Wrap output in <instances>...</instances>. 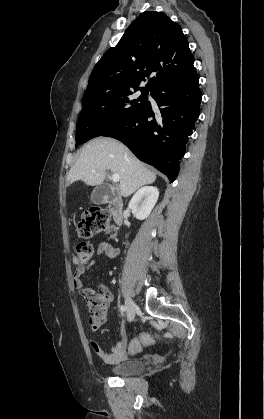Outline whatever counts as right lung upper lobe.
I'll use <instances>...</instances> for the list:
<instances>
[{"mask_svg": "<svg viewBox=\"0 0 264 419\" xmlns=\"http://www.w3.org/2000/svg\"><path fill=\"white\" fill-rule=\"evenodd\" d=\"M194 59L181 27L161 12L142 13L126 30L117 46L108 49L94 67L85 96L119 92L187 79L196 73Z\"/></svg>", "mask_w": 264, "mask_h": 419, "instance_id": "cb5924a9", "label": "right lung upper lobe"}]
</instances>
